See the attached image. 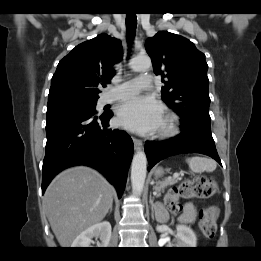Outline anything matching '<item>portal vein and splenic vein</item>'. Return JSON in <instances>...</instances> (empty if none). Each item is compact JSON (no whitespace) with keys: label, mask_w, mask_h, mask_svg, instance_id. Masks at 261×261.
<instances>
[{"label":"portal vein and splenic vein","mask_w":261,"mask_h":261,"mask_svg":"<svg viewBox=\"0 0 261 261\" xmlns=\"http://www.w3.org/2000/svg\"><path fill=\"white\" fill-rule=\"evenodd\" d=\"M178 177H179V173H175V174L173 175V180L177 179Z\"/></svg>","instance_id":"18ae733b"}]
</instances>
